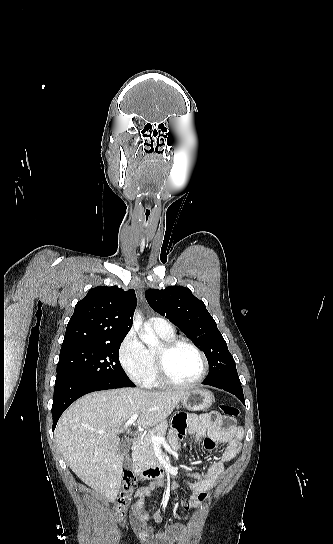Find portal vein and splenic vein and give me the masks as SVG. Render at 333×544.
<instances>
[{
    "instance_id": "18ae733b",
    "label": "portal vein and splenic vein",
    "mask_w": 333,
    "mask_h": 544,
    "mask_svg": "<svg viewBox=\"0 0 333 544\" xmlns=\"http://www.w3.org/2000/svg\"><path fill=\"white\" fill-rule=\"evenodd\" d=\"M138 418V414H134L132 415L128 421L125 422L124 424V428H127L129 427L130 425L134 424L135 421L137 420ZM104 433V432H102ZM151 441L153 444H160V443H164L165 442V438L164 437H159V436H151Z\"/></svg>"
}]
</instances>
